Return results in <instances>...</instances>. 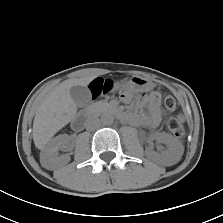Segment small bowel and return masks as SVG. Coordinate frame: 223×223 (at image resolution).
<instances>
[{
    "instance_id": "c3829d8e",
    "label": "small bowel",
    "mask_w": 223,
    "mask_h": 223,
    "mask_svg": "<svg viewBox=\"0 0 223 223\" xmlns=\"http://www.w3.org/2000/svg\"><path fill=\"white\" fill-rule=\"evenodd\" d=\"M99 85L102 83H98ZM94 97H98L102 92L99 90V87H95L92 92ZM122 101L128 103L130 98L128 95L122 96ZM146 107L149 111L148 114L138 113L136 115L126 116V120L135 125H143L148 128L155 129L159 126L163 110L161 108V95L157 91H151L141 98L139 101V108Z\"/></svg>"
}]
</instances>
